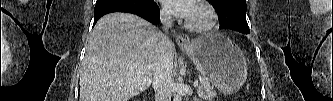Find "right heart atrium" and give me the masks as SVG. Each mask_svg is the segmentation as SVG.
Masks as SVG:
<instances>
[{
    "label": "right heart atrium",
    "instance_id": "1",
    "mask_svg": "<svg viewBox=\"0 0 333 101\" xmlns=\"http://www.w3.org/2000/svg\"><path fill=\"white\" fill-rule=\"evenodd\" d=\"M166 10V9H165ZM168 11L166 10V11H163V15H164V17H168V13H167Z\"/></svg>",
    "mask_w": 333,
    "mask_h": 101
}]
</instances>
